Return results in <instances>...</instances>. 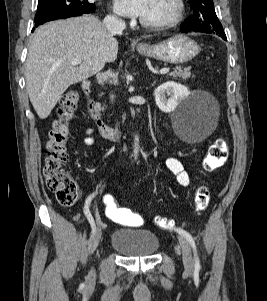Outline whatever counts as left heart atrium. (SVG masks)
Wrapping results in <instances>:
<instances>
[{"label":"left heart atrium","instance_id":"left-heart-atrium-1","mask_svg":"<svg viewBox=\"0 0 267 301\" xmlns=\"http://www.w3.org/2000/svg\"><path fill=\"white\" fill-rule=\"evenodd\" d=\"M149 0H115L119 13L129 17H142L147 9Z\"/></svg>","mask_w":267,"mask_h":301}]
</instances>
